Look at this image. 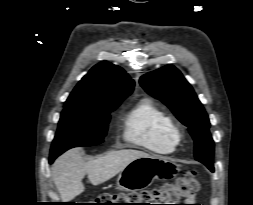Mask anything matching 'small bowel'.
Instances as JSON below:
<instances>
[{"label": "small bowel", "mask_w": 253, "mask_h": 205, "mask_svg": "<svg viewBox=\"0 0 253 205\" xmlns=\"http://www.w3.org/2000/svg\"><path fill=\"white\" fill-rule=\"evenodd\" d=\"M194 201H195V197L194 196H192V197H190L188 199V202H190V203H193ZM190 205H194V204H190Z\"/></svg>", "instance_id": "c3829d8e"}]
</instances>
